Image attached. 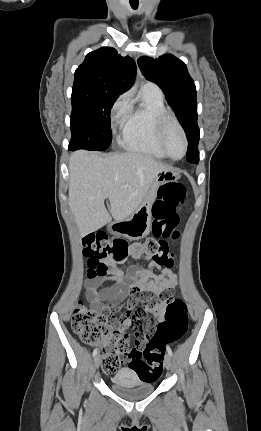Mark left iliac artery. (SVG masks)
Listing matches in <instances>:
<instances>
[{"label":"left iliac artery","instance_id":"1","mask_svg":"<svg viewBox=\"0 0 261 431\" xmlns=\"http://www.w3.org/2000/svg\"><path fill=\"white\" fill-rule=\"evenodd\" d=\"M166 350H167L168 354L172 357L173 353H172L171 348L168 345H166Z\"/></svg>","mask_w":261,"mask_h":431}]
</instances>
